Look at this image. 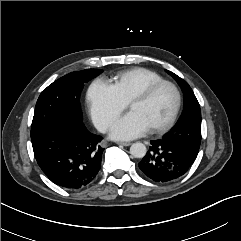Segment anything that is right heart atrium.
Wrapping results in <instances>:
<instances>
[{
	"label": "right heart atrium",
	"mask_w": 241,
	"mask_h": 241,
	"mask_svg": "<svg viewBox=\"0 0 241 241\" xmlns=\"http://www.w3.org/2000/svg\"><path fill=\"white\" fill-rule=\"evenodd\" d=\"M89 111L96 127L105 132L127 107L114 86L102 79L94 80L87 91Z\"/></svg>",
	"instance_id": "d8ad5b80"
}]
</instances>
